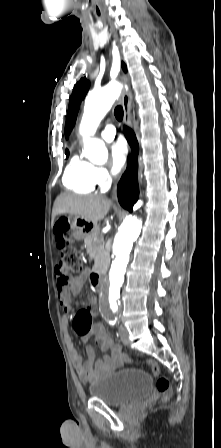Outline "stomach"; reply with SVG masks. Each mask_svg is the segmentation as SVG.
<instances>
[{
	"label": "stomach",
	"instance_id": "0dacf381",
	"mask_svg": "<svg viewBox=\"0 0 221 448\" xmlns=\"http://www.w3.org/2000/svg\"><path fill=\"white\" fill-rule=\"evenodd\" d=\"M73 237L76 240H82L91 234L96 228V224L86 221L81 217H75L70 221Z\"/></svg>",
	"mask_w": 221,
	"mask_h": 448
}]
</instances>
